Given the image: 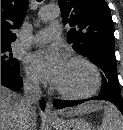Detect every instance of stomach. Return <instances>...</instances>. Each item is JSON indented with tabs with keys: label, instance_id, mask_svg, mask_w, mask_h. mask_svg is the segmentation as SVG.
I'll return each mask as SVG.
<instances>
[{
	"label": "stomach",
	"instance_id": "0dacf381",
	"mask_svg": "<svg viewBox=\"0 0 123 130\" xmlns=\"http://www.w3.org/2000/svg\"><path fill=\"white\" fill-rule=\"evenodd\" d=\"M49 123L55 130H93L90 123L83 118L51 120Z\"/></svg>",
	"mask_w": 123,
	"mask_h": 130
}]
</instances>
